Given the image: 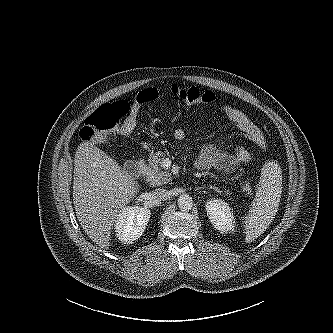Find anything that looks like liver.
I'll return each mask as SVG.
<instances>
[{
	"label": "liver",
	"instance_id": "obj_1",
	"mask_svg": "<svg viewBox=\"0 0 333 333\" xmlns=\"http://www.w3.org/2000/svg\"><path fill=\"white\" fill-rule=\"evenodd\" d=\"M139 192L132 176L94 146L82 142L74 158L73 203L76 216L88 237L108 249L112 226Z\"/></svg>",
	"mask_w": 333,
	"mask_h": 333
}]
</instances>
